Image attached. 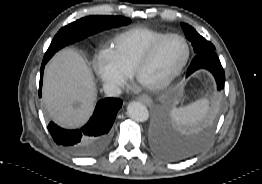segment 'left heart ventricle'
<instances>
[{
  "mask_svg": "<svg viewBox=\"0 0 262 184\" xmlns=\"http://www.w3.org/2000/svg\"><path fill=\"white\" fill-rule=\"evenodd\" d=\"M186 55L183 41L173 37L167 39L158 49L151 64L143 71L145 82H159L168 77L181 64Z\"/></svg>",
  "mask_w": 262,
  "mask_h": 184,
  "instance_id": "1",
  "label": "left heart ventricle"
}]
</instances>
